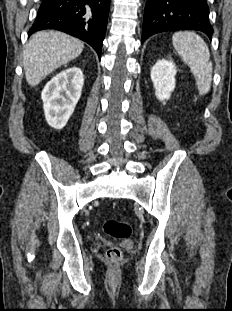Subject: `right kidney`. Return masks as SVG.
Listing matches in <instances>:
<instances>
[{
  "instance_id": "obj_1",
  "label": "right kidney",
  "mask_w": 232,
  "mask_h": 311,
  "mask_svg": "<svg viewBox=\"0 0 232 311\" xmlns=\"http://www.w3.org/2000/svg\"><path fill=\"white\" fill-rule=\"evenodd\" d=\"M83 84V73L78 67L61 71L46 84L41 98L51 127L60 130L66 125L81 97Z\"/></svg>"
}]
</instances>
